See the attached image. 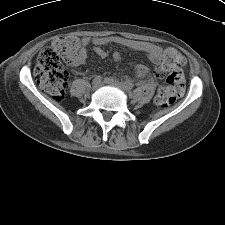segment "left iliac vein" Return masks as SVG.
Listing matches in <instances>:
<instances>
[{
	"label": "left iliac vein",
	"instance_id": "4c4485c4",
	"mask_svg": "<svg viewBox=\"0 0 225 225\" xmlns=\"http://www.w3.org/2000/svg\"><path fill=\"white\" fill-rule=\"evenodd\" d=\"M111 85L117 87L118 89H120L121 91H123L124 93L127 92L128 90V86H126L124 83L119 82L117 80H113V79H109L108 81Z\"/></svg>",
	"mask_w": 225,
	"mask_h": 225
}]
</instances>
